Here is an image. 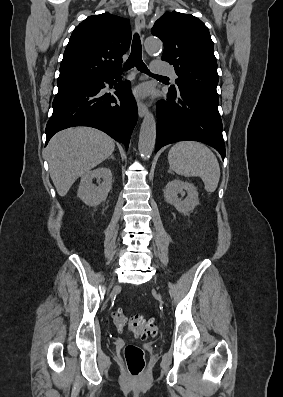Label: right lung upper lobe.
Here are the masks:
<instances>
[{"mask_svg": "<svg viewBox=\"0 0 283 397\" xmlns=\"http://www.w3.org/2000/svg\"><path fill=\"white\" fill-rule=\"evenodd\" d=\"M131 41L128 19L105 12L89 16L73 31L57 83L70 84L120 73Z\"/></svg>", "mask_w": 283, "mask_h": 397, "instance_id": "1", "label": "right lung upper lobe"}]
</instances>
